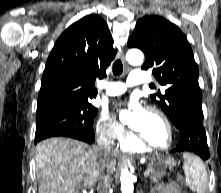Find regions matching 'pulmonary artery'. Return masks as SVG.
Instances as JSON below:
<instances>
[{
    "mask_svg": "<svg viewBox=\"0 0 221 193\" xmlns=\"http://www.w3.org/2000/svg\"><path fill=\"white\" fill-rule=\"evenodd\" d=\"M150 77L143 70L135 69L128 76L127 83L123 82H103L101 87L105 89L107 95L115 96L126 91L127 86L144 85L150 82Z\"/></svg>",
    "mask_w": 221,
    "mask_h": 193,
    "instance_id": "1",
    "label": "pulmonary artery"
}]
</instances>
